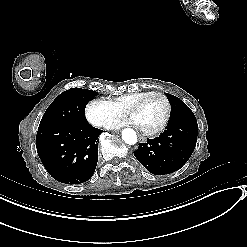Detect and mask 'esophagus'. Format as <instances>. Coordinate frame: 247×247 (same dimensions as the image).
<instances>
[{
	"instance_id": "esophagus-1",
	"label": "esophagus",
	"mask_w": 247,
	"mask_h": 247,
	"mask_svg": "<svg viewBox=\"0 0 247 247\" xmlns=\"http://www.w3.org/2000/svg\"><path fill=\"white\" fill-rule=\"evenodd\" d=\"M139 142L140 143H145L146 142V138L139 136Z\"/></svg>"
}]
</instances>
